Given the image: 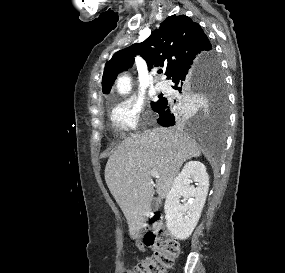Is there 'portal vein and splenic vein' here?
<instances>
[{
    "label": "portal vein and splenic vein",
    "mask_w": 285,
    "mask_h": 273,
    "mask_svg": "<svg viewBox=\"0 0 285 273\" xmlns=\"http://www.w3.org/2000/svg\"><path fill=\"white\" fill-rule=\"evenodd\" d=\"M150 176L154 177V178H158L159 177V173L156 170H152V171H150Z\"/></svg>",
    "instance_id": "1"
}]
</instances>
